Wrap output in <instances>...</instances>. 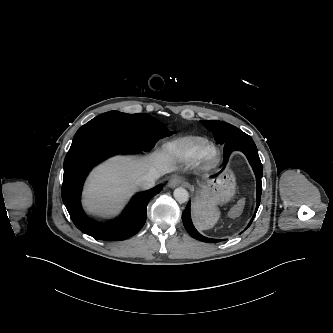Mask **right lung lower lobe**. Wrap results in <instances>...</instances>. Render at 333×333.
I'll list each match as a JSON object with an SVG mask.
<instances>
[{"instance_id":"1","label":"right lung lower lobe","mask_w":333,"mask_h":333,"mask_svg":"<svg viewBox=\"0 0 333 333\" xmlns=\"http://www.w3.org/2000/svg\"><path fill=\"white\" fill-rule=\"evenodd\" d=\"M135 146L113 136L94 133L73 140L65 157L62 199L75 226L83 233L107 241L125 240L140 231L146 221V207L158 194L161 186L138 193L122 213L119 220L99 223L84 213L80 196L85 176L101 160L117 153H138Z\"/></svg>"}]
</instances>
